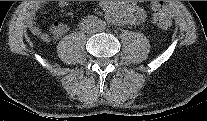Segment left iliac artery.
<instances>
[{"instance_id":"1","label":"left iliac artery","mask_w":207,"mask_h":121,"mask_svg":"<svg viewBox=\"0 0 207 121\" xmlns=\"http://www.w3.org/2000/svg\"><path fill=\"white\" fill-rule=\"evenodd\" d=\"M105 26H106L105 22L100 21V27L103 29V28H105Z\"/></svg>"}]
</instances>
